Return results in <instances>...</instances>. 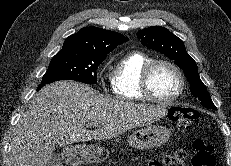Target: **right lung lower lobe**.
Listing matches in <instances>:
<instances>
[{"mask_svg": "<svg viewBox=\"0 0 231 166\" xmlns=\"http://www.w3.org/2000/svg\"><path fill=\"white\" fill-rule=\"evenodd\" d=\"M44 85L45 84H43V83L39 84L37 90L39 91Z\"/></svg>", "mask_w": 231, "mask_h": 166, "instance_id": "1", "label": "right lung lower lobe"}]
</instances>
